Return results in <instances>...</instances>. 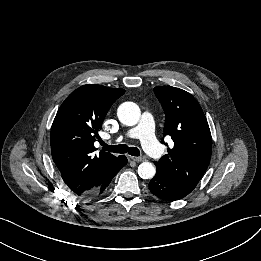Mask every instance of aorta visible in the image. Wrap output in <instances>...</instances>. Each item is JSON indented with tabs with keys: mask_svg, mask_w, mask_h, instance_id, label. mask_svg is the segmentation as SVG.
<instances>
[{
	"mask_svg": "<svg viewBox=\"0 0 261 261\" xmlns=\"http://www.w3.org/2000/svg\"><path fill=\"white\" fill-rule=\"evenodd\" d=\"M119 121L127 126L136 125L141 116L140 108L133 102H124L118 107ZM156 173L155 166L150 162H143L138 167V174L143 179H151Z\"/></svg>",
	"mask_w": 261,
	"mask_h": 261,
	"instance_id": "1",
	"label": "aorta"
}]
</instances>
